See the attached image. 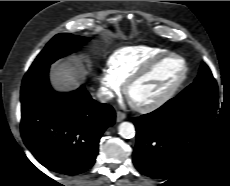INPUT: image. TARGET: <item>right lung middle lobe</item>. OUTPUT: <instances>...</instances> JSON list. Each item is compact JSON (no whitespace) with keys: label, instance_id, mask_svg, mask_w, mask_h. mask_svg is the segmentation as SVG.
Here are the masks:
<instances>
[{"label":"right lung middle lobe","instance_id":"dd1d6c3e","mask_svg":"<svg viewBox=\"0 0 230 186\" xmlns=\"http://www.w3.org/2000/svg\"><path fill=\"white\" fill-rule=\"evenodd\" d=\"M87 41H89V38L86 37H80L68 33L57 34L47 43L45 48L36 57L28 72L49 67L54 61L72 53Z\"/></svg>","mask_w":230,"mask_h":186}]
</instances>
